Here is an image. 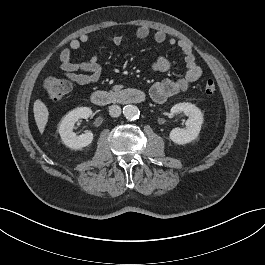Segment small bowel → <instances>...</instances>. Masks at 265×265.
I'll use <instances>...</instances> for the list:
<instances>
[{
	"label": "small bowel",
	"mask_w": 265,
	"mask_h": 265,
	"mask_svg": "<svg viewBox=\"0 0 265 265\" xmlns=\"http://www.w3.org/2000/svg\"><path fill=\"white\" fill-rule=\"evenodd\" d=\"M150 33V29L147 26H140L135 32V38L142 40L149 37ZM104 37L114 45H120L124 41L122 35L106 34ZM153 38L157 43L166 42L171 47H178L183 55L186 68L184 75L179 79L163 80L152 86L150 90L152 100L162 104L169 98L186 92L191 84L201 78L202 69L197 64L192 47L187 41L168 37L162 30L156 31ZM89 41L90 36L83 34L71 40L68 47L63 49L60 54V67L64 75L72 82L82 86L96 83L102 75V67L97 52H93L84 61H72L73 52ZM151 68L156 72H167L171 68V62L165 57H160L152 63Z\"/></svg>",
	"instance_id": "1"
}]
</instances>
